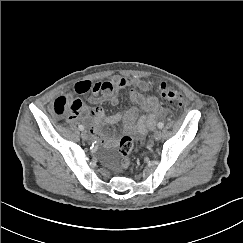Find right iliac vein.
Wrapping results in <instances>:
<instances>
[{"instance_id":"obj_1","label":"right iliac vein","mask_w":243,"mask_h":243,"mask_svg":"<svg viewBox=\"0 0 243 243\" xmlns=\"http://www.w3.org/2000/svg\"><path fill=\"white\" fill-rule=\"evenodd\" d=\"M81 137L83 140H88L89 139V135L86 131H82L81 132Z\"/></svg>"}]
</instances>
